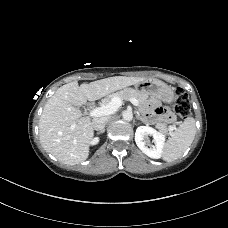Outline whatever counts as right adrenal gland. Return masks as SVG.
<instances>
[{
	"label": "right adrenal gland",
	"instance_id": "obj_1",
	"mask_svg": "<svg viewBox=\"0 0 228 228\" xmlns=\"http://www.w3.org/2000/svg\"><path fill=\"white\" fill-rule=\"evenodd\" d=\"M104 132H105V129L99 131L98 134H101V133H104Z\"/></svg>",
	"mask_w": 228,
	"mask_h": 228
}]
</instances>
